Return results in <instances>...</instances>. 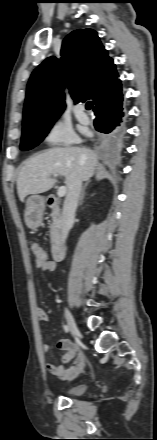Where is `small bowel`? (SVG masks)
Masks as SVG:
<instances>
[{"label": "small bowel", "instance_id": "obj_1", "mask_svg": "<svg viewBox=\"0 0 157 440\" xmlns=\"http://www.w3.org/2000/svg\"><path fill=\"white\" fill-rule=\"evenodd\" d=\"M55 264L49 261L48 265L42 269L43 271H54ZM38 319L42 322H47L49 319L48 314L42 309L37 310ZM59 349L65 351L60 364L46 363L47 370L57 378L62 380H71L77 377L85 367V357L82 353H79L75 346L67 339H60L57 343ZM43 351L48 352L50 350L49 343H44Z\"/></svg>", "mask_w": 157, "mask_h": 440}]
</instances>
